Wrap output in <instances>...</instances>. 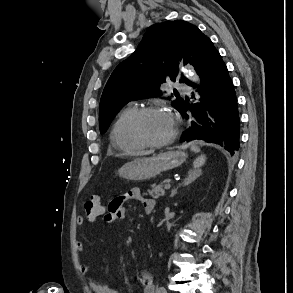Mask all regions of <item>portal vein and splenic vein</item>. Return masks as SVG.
Wrapping results in <instances>:
<instances>
[{
  "mask_svg": "<svg viewBox=\"0 0 293 293\" xmlns=\"http://www.w3.org/2000/svg\"><path fill=\"white\" fill-rule=\"evenodd\" d=\"M166 190H169L170 188H171V185H170V183H167L166 185H165V187H164Z\"/></svg>",
  "mask_w": 293,
  "mask_h": 293,
  "instance_id": "18ae733b",
  "label": "portal vein and splenic vein"
}]
</instances>
